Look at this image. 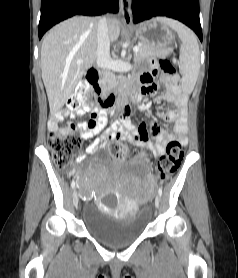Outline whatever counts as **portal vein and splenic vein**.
<instances>
[{
    "label": "portal vein and splenic vein",
    "instance_id": "portal-vein-and-splenic-vein-1",
    "mask_svg": "<svg viewBox=\"0 0 238 278\" xmlns=\"http://www.w3.org/2000/svg\"><path fill=\"white\" fill-rule=\"evenodd\" d=\"M138 51H139V46H135V47L133 48V52H134V53H137ZM78 62L81 63L82 60H79Z\"/></svg>",
    "mask_w": 238,
    "mask_h": 278
}]
</instances>
